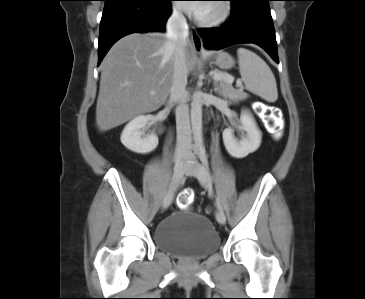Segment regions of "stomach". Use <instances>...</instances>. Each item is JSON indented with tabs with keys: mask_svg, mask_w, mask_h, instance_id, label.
<instances>
[{
	"mask_svg": "<svg viewBox=\"0 0 365 299\" xmlns=\"http://www.w3.org/2000/svg\"><path fill=\"white\" fill-rule=\"evenodd\" d=\"M213 60L214 64L223 70L231 69L235 63L232 56L224 51L216 53V55L213 57Z\"/></svg>",
	"mask_w": 365,
	"mask_h": 299,
	"instance_id": "1",
	"label": "stomach"
}]
</instances>
